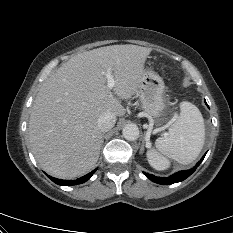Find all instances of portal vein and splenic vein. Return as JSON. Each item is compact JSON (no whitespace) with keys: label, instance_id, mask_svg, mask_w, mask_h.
Listing matches in <instances>:
<instances>
[{"label":"portal vein and splenic vein","instance_id":"portal-vein-and-splenic-vein-1","mask_svg":"<svg viewBox=\"0 0 233 233\" xmlns=\"http://www.w3.org/2000/svg\"><path fill=\"white\" fill-rule=\"evenodd\" d=\"M106 79H107V86L109 89H112L115 85L114 77L111 73V71L106 72Z\"/></svg>","mask_w":233,"mask_h":233}]
</instances>
